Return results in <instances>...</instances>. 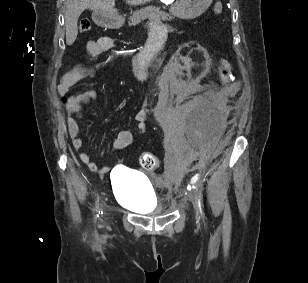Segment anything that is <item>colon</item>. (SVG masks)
Masks as SVG:
<instances>
[{
	"label": "colon",
	"instance_id": "obj_1",
	"mask_svg": "<svg viewBox=\"0 0 308 283\" xmlns=\"http://www.w3.org/2000/svg\"><path fill=\"white\" fill-rule=\"evenodd\" d=\"M223 11L222 2H217L214 6V13L221 14ZM80 31L85 33L91 29V24L88 20H82L79 25ZM232 66L229 59H223L219 68L218 78L221 83H225L231 76ZM65 101H68L67 97H64ZM140 165L145 170H153L158 167V158L150 152H144L139 158Z\"/></svg>",
	"mask_w": 308,
	"mask_h": 283
}]
</instances>
